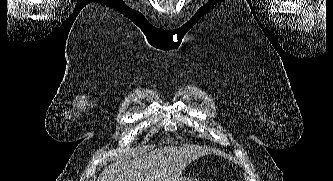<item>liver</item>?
Listing matches in <instances>:
<instances>
[{"label": "liver", "mask_w": 333, "mask_h": 181, "mask_svg": "<svg viewBox=\"0 0 333 181\" xmlns=\"http://www.w3.org/2000/svg\"><path fill=\"white\" fill-rule=\"evenodd\" d=\"M205 154L198 147H161L133 159H118L97 181H177L191 162Z\"/></svg>", "instance_id": "obj_1"}]
</instances>
